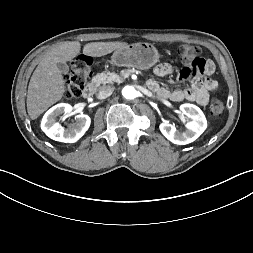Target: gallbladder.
I'll list each match as a JSON object with an SVG mask.
<instances>
[{
	"mask_svg": "<svg viewBox=\"0 0 253 253\" xmlns=\"http://www.w3.org/2000/svg\"><path fill=\"white\" fill-rule=\"evenodd\" d=\"M57 67L60 70V72L63 74H67L69 72V67L66 63L59 62L57 63Z\"/></svg>",
	"mask_w": 253,
	"mask_h": 253,
	"instance_id": "obj_1",
	"label": "gallbladder"
}]
</instances>
